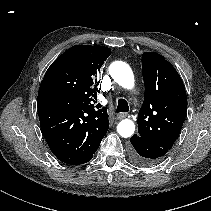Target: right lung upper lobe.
Masks as SVG:
<instances>
[{"label": "right lung upper lobe", "mask_w": 211, "mask_h": 211, "mask_svg": "<svg viewBox=\"0 0 211 211\" xmlns=\"http://www.w3.org/2000/svg\"><path fill=\"white\" fill-rule=\"evenodd\" d=\"M111 55L104 46L75 45L61 54L45 73L41 87L57 90L77 99L89 112L108 118L107 108L95 110L100 68Z\"/></svg>", "instance_id": "cb5924a9"}]
</instances>
